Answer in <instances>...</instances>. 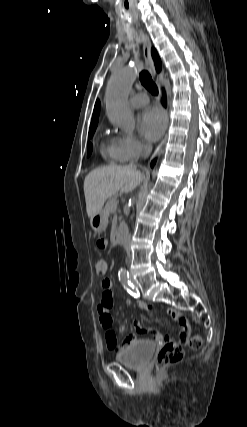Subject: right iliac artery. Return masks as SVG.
<instances>
[{"label":"right iliac artery","instance_id":"obj_1","mask_svg":"<svg viewBox=\"0 0 247 427\" xmlns=\"http://www.w3.org/2000/svg\"><path fill=\"white\" fill-rule=\"evenodd\" d=\"M119 280L123 287L134 297H139L140 293L137 288L131 283L129 274H122L119 276Z\"/></svg>","mask_w":247,"mask_h":427}]
</instances>
